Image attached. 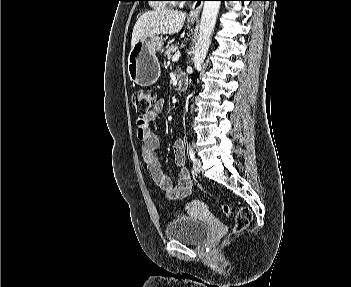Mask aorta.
Instances as JSON below:
<instances>
[{
    "label": "aorta",
    "instance_id": "obj_1",
    "mask_svg": "<svg viewBox=\"0 0 351 287\" xmlns=\"http://www.w3.org/2000/svg\"><path fill=\"white\" fill-rule=\"evenodd\" d=\"M220 1H205L201 15L200 29L197 43L195 45L193 63L195 68L201 67L210 43L211 35L215 27L217 15L220 8Z\"/></svg>",
    "mask_w": 351,
    "mask_h": 287
}]
</instances>
